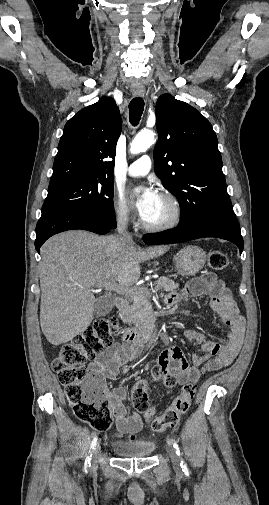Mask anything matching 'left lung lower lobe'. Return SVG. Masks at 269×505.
Returning <instances> with one entry per match:
<instances>
[{
  "mask_svg": "<svg viewBox=\"0 0 269 505\" xmlns=\"http://www.w3.org/2000/svg\"><path fill=\"white\" fill-rule=\"evenodd\" d=\"M204 237H217L231 241L243 251V239L235 215L216 214L191 227L177 226L159 234L143 237L146 244H172Z\"/></svg>",
  "mask_w": 269,
  "mask_h": 505,
  "instance_id": "0a47b994",
  "label": "left lung lower lobe"
}]
</instances>
